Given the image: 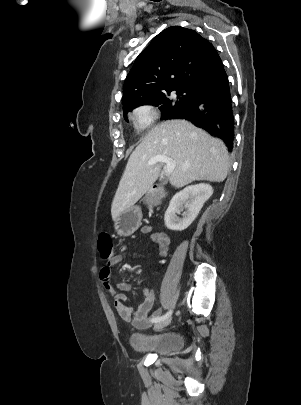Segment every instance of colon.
Segmentation results:
<instances>
[{
    "label": "colon",
    "instance_id": "obj_1",
    "mask_svg": "<svg viewBox=\"0 0 301 405\" xmlns=\"http://www.w3.org/2000/svg\"><path fill=\"white\" fill-rule=\"evenodd\" d=\"M98 251L101 258L108 261L113 254L112 241L107 233H101L97 242Z\"/></svg>",
    "mask_w": 301,
    "mask_h": 405
}]
</instances>
